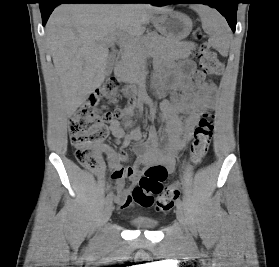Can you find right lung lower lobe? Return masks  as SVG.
I'll return each mask as SVG.
<instances>
[{
  "label": "right lung lower lobe",
  "instance_id": "right-lung-lower-lobe-1",
  "mask_svg": "<svg viewBox=\"0 0 279 267\" xmlns=\"http://www.w3.org/2000/svg\"><path fill=\"white\" fill-rule=\"evenodd\" d=\"M62 3H141V0H42L39 4L43 25L55 7Z\"/></svg>",
  "mask_w": 279,
  "mask_h": 267
}]
</instances>
